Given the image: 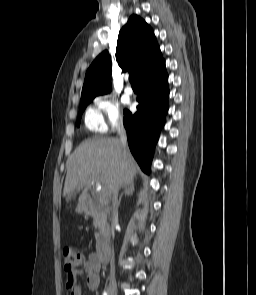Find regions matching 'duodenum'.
I'll use <instances>...</instances> for the list:
<instances>
[{"label": "duodenum", "mask_w": 256, "mask_h": 295, "mask_svg": "<svg viewBox=\"0 0 256 295\" xmlns=\"http://www.w3.org/2000/svg\"><path fill=\"white\" fill-rule=\"evenodd\" d=\"M80 206L85 214L91 215L94 213L93 206L87 199L82 200L80 202ZM96 257H97L99 263H101V264L109 262L110 247H109L106 240H104V239L100 240L98 247H97V251H96Z\"/></svg>", "instance_id": "410a0bca"}]
</instances>
